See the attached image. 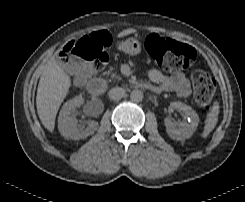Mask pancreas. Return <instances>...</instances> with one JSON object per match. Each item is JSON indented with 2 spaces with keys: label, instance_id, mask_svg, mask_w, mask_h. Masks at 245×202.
Segmentation results:
<instances>
[{
  "label": "pancreas",
  "instance_id": "1",
  "mask_svg": "<svg viewBox=\"0 0 245 202\" xmlns=\"http://www.w3.org/2000/svg\"><path fill=\"white\" fill-rule=\"evenodd\" d=\"M111 70L112 69H110L109 71H107L105 74L111 75V78L112 79L120 80V76L117 73H111Z\"/></svg>",
  "mask_w": 245,
  "mask_h": 202
}]
</instances>
